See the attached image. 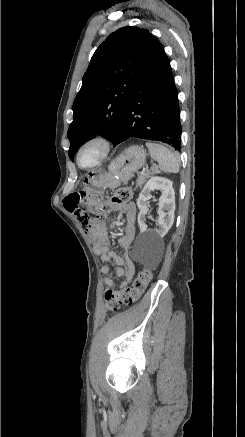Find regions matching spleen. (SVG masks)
Listing matches in <instances>:
<instances>
[{
  "label": "spleen",
  "instance_id": "3e777b00",
  "mask_svg": "<svg viewBox=\"0 0 245 437\" xmlns=\"http://www.w3.org/2000/svg\"><path fill=\"white\" fill-rule=\"evenodd\" d=\"M150 156L159 163V168L164 172H179V157L165 146L146 142Z\"/></svg>",
  "mask_w": 245,
  "mask_h": 437
}]
</instances>
